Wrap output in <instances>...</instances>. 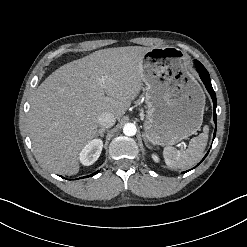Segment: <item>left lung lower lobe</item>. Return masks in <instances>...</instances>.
<instances>
[{
    "label": "left lung lower lobe",
    "mask_w": 247,
    "mask_h": 247,
    "mask_svg": "<svg viewBox=\"0 0 247 247\" xmlns=\"http://www.w3.org/2000/svg\"><path fill=\"white\" fill-rule=\"evenodd\" d=\"M195 66L197 68V72L199 73L201 80L203 81L206 89L210 93L211 98L213 100V104H214V122H215V125H216L217 118H216V111L215 110H216V106H217V100H216L215 92H214V90L212 88V85H211V80H210V77H209V73L207 72L205 67L199 61H195ZM215 135H216V129H215V132H214V137H215ZM207 154L205 155V157L207 156Z\"/></svg>",
    "instance_id": "obj_1"
}]
</instances>
